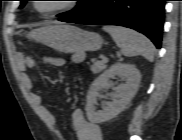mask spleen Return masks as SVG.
Listing matches in <instances>:
<instances>
[{
  "label": "spleen",
  "instance_id": "obj_1",
  "mask_svg": "<svg viewBox=\"0 0 182 140\" xmlns=\"http://www.w3.org/2000/svg\"><path fill=\"white\" fill-rule=\"evenodd\" d=\"M103 30L111 35L123 55L127 57L142 55L150 62L154 60V46L144 35L121 26H104Z\"/></svg>",
  "mask_w": 182,
  "mask_h": 140
}]
</instances>
